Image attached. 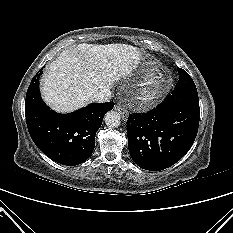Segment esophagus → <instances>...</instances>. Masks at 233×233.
<instances>
[{"mask_svg":"<svg viewBox=\"0 0 233 233\" xmlns=\"http://www.w3.org/2000/svg\"><path fill=\"white\" fill-rule=\"evenodd\" d=\"M116 110L120 113L121 117L126 120L128 118V112L123 105H117Z\"/></svg>","mask_w":233,"mask_h":233,"instance_id":"esophagus-1","label":"esophagus"}]
</instances>
